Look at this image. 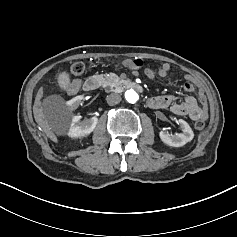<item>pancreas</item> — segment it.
Segmentation results:
<instances>
[{
    "mask_svg": "<svg viewBox=\"0 0 237 237\" xmlns=\"http://www.w3.org/2000/svg\"><path fill=\"white\" fill-rule=\"evenodd\" d=\"M121 79L116 75L115 73H109L107 75H104V78L102 80V85L107 88L109 87L110 89H115L118 87Z\"/></svg>",
    "mask_w": 237,
    "mask_h": 237,
    "instance_id": "1",
    "label": "pancreas"
}]
</instances>
